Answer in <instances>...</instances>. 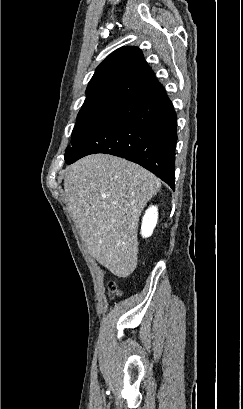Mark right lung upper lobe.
Segmentation results:
<instances>
[{"label": "right lung upper lobe", "instance_id": "obj_1", "mask_svg": "<svg viewBox=\"0 0 243 409\" xmlns=\"http://www.w3.org/2000/svg\"><path fill=\"white\" fill-rule=\"evenodd\" d=\"M156 81L153 71L137 47H121L111 53L95 70L85 102L125 100Z\"/></svg>", "mask_w": 243, "mask_h": 409}]
</instances>
